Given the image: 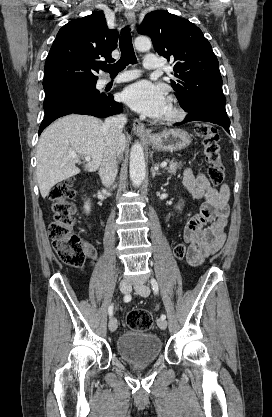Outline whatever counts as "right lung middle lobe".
<instances>
[{"label": "right lung middle lobe", "instance_id": "obj_1", "mask_svg": "<svg viewBox=\"0 0 272 417\" xmlns=\"http://www.w3.org/2000/svg\"><path fill=\"white\" fill-rule=\"evenodd\" d=\"M70 95H87L93 98H98L102 95V93L96 89V83L58 86L56 88L45 90L43 107L58 98Z\"/></svg>", "mask_w": 272, "mask_h": 417}]
</instances>
